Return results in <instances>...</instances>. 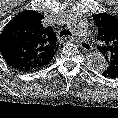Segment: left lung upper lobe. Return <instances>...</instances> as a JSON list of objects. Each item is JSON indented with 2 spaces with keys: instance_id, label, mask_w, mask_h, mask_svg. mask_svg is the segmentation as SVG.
I'll return each mask as SVG.
<instances>
[{
  "instance_id": "5c2ea615",
  "label": "left lung upper lobe",
  "mask_w": 118,
  "mask_h": 118,
  "mask_svg": "<svg viewBox=\"0 0 118 118\" xmlns=\"http://www.w3.org/2000/svg\"><path fill=\"white\" fill-rule=\"evenodd\" d=\"M98 27V37L103 44L98 45V50L107 61V68L103 72L104 77H118V19L107 13H99L93 16Z\"/></svg>"
}]
</instances>
